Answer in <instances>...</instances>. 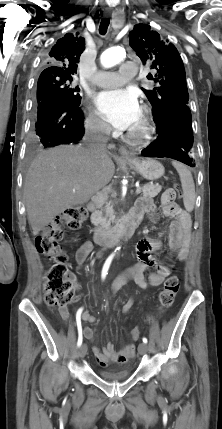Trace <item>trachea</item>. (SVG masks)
<instances>
[{
    "instance_id": "obj_1",
    "label": "trachea",
    "mask_w": 222,
    "mask_h": 429,
    "mask_svg": "<svg viewBox=\"0 0 222 429\" xmlns=\"http://www.w3.org/2000/svg\"><path fill=\"white\" fill-rule=\"evenodd\" d=\"M110 23V19L105 18L101 20L100 26H99V32L100 34L104 35L107 32L108 26Z\"/></svg>"
}]
</instances>
